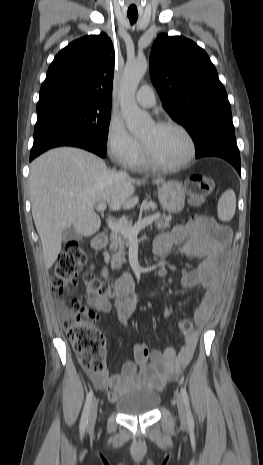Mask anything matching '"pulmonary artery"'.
Here are the masks:
<instances>
[{
	"label": "pulmonary artery",
	"instance_id": "obj_1",
	"mask_svg": "<svg viewBox=\"0 0 263 465\" xmlns=\"http://www.w3.org/2000/svg\"><path fill=\"white\" fill-rule=\"evenodd\" d=\"M136 101L139 105L149 108L156 103V98L153 89L149 85L140 87L136 94Z\"/></svg>",
	"mask_w": 263,
	"mask_h": 465
}]
</instances>
